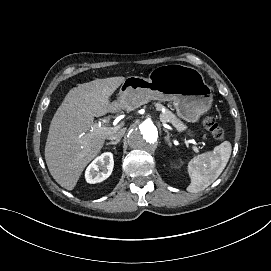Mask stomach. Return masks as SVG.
<instances>
[{
    "instance_id": "obj_1",
    "label": "stomach",
    "mask_w": 271,
    "mask_h": 271,
    "mask_svg": "<svg viewBox=\"0 0 271 271\" xmlns=\"http://www.w3.org/2000/svg\"><path fill=\"white\" fill-rule=\"evenodd\" d=\"M173 101L177 115L197 122L212 106V87L196 69L181 64L163 65L153 69L148 78L129 76L121 84L115 111H128L149 100Z\"/></svg>"
}]
</instances>
